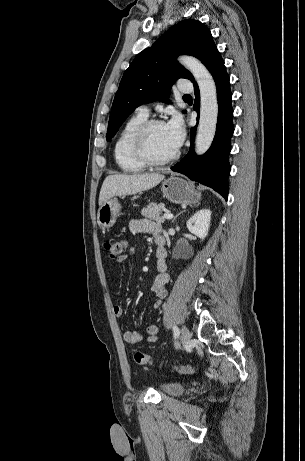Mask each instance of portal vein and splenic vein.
I'll return each instance as SVG.
<instances>
[{"label":"portal vein and splenic vein","mask_w":305,"mask_h":461,"mask_svg":"<svg viewBox=\"0 0 305 461\" xmlns=\"http://www.w3.org/2000/svg\"><path fill=\"white\" fill-rule=\"evenodd\" d=\"M163 217H164L165 219H168V220H169V219H172V218H173V214H171V213H165V214L163 215Z\"/></svg>","instance_id":"portal-vein-and-splenic-vein-1"}]
</instances>
